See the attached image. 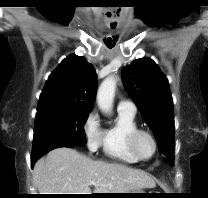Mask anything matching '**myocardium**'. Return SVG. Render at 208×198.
<instances>
[{"mask_svg":"<svg viewBox=\"0 0 208 198\" xmlns=\"http://www.w3.org/2000/svg\"><path fill=\"white\" fill-rule=\"evenodd\" d=\"M142 135L148 136L152 140V143H153V146H154L153 152H152V154L149 157L143 156L139 152V149H138V146H137L138 139ZM129 147H130V150L132 151V153L139 160L148 161V160L152 159L156 155L157 149H158V143H157V140H156L155 136L150 131L145 130V129L138 128V129L134 130L130 134V136H129Z\"/></svg>","mask_w":208,"mask_h":198,"instance_id":"myocardium-1","label":"myocardium"}]
</instances>
